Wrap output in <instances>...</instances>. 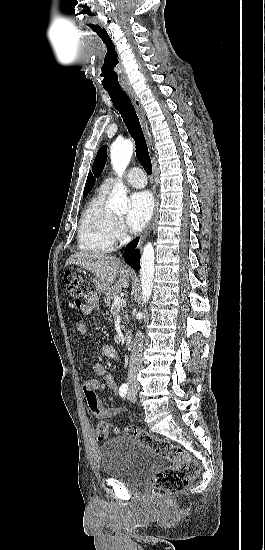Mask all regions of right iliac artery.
I'll list each match as a JSON object with an SVG mask.
<instances>
[{"mask_svg":"<svg viewBox=\"0 0 265 550\" xmlns=\"http://www.w3.org/2000/svg\"><path fill=\"white\" fill-rule=\"evenodd\" d=\"M128 391V385L126 383L122 384L119 388V394L121 397H125Z\"/></svg>","mask_w":265,"mask_h":550,"instance_id":"obj_1","label":"right iliac artery"}]
</instances>
